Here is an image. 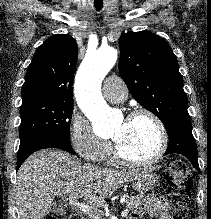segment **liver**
Segmentation results:
<instances>
[{"mask_svg": "<svg viewBox=\"0 0 211 219\" xmlns=\"http://www.w3.org/2000/svg\"><path fill=\"white\" fill-rule=\"evenodd\" d=\"M139 170H114L81 164L70 154L53 149L28 157L17 174L16 201L20 219H42L58 195L84 198L87 206L99 208Z\"/></svg>", "mask_w": 211, "mask_h": 219, "instance_id": "1", "label": "liver"}]
</instances>
